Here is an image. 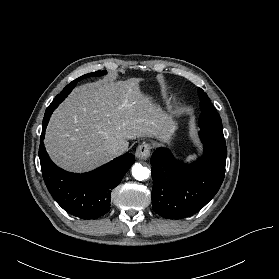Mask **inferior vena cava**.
I'll return each instance as SVG.
<instances>
[{
  "label": "inferior vena cava",
  "mask_w": 279,
  "mask_h": 279,
  "mask_svg": "<svg viewBox=\"0 0 279 279\" xmlns=\"http://www.w3.org/2000/svg\"><path fill=\"white\" fill-rule=\"evenodd\" d=\"M127 151L126 147L123 146H114L109 150L111 156L116 157L124 154Z\"/></svg>",
  "instance_id": "602c4592"
}]
</instances>
